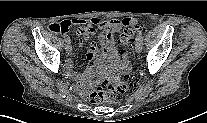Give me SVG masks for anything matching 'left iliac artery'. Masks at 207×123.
Masks as SVG:
<instances>
[{
  "mask_svg": "<svg viewBox=\"0 0 207 123\" xmlns=\"http://www.w3.org/2000/svg\"><path fill=\"white\" fill-rule=\"evenodd\" d=\"M136 39H140V40H143V34H142V31H139L138 35H137V38Z\"/></svg>",
  "mask_w": 207,
  "mask_h": 123,
  "instance_id": "obj_1",
  "label": "left iliac artery"
}]
</instances>
